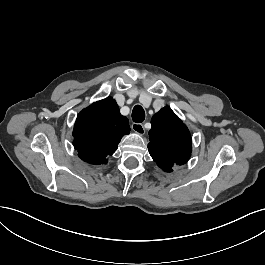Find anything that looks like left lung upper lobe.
Wrapping results in <instances>:
<instances>
[{"mask_svg": "<svg viewBox=\"0 0 265 265\" xmlns=\"http://www.w3.org/2000/svg\"><path fill=\"white\" fill-rule=\"evenodd\" d=\"M148 149L151 157L165 172L185 164L191 156V135L185 124L166 106L151 119Z\"/></svg>", "mask_w": 265, "mask_h": 265, "instance_id": "1", "label": "left lung upper lobe"}]
</instances>
